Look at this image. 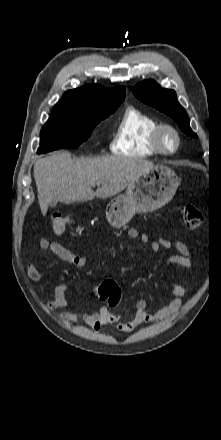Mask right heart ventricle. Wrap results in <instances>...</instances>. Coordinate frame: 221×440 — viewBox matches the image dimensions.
Returning <instances> with one entry per match:
<instances>
[{
    "label": "right heart ventricle",
    "instance_id": "e07e8e85",
    "mask_svg": "<svg viewBox=\"0 0 221 440\" xmlns=\"http://www.w3.org/2000/svg\"><path fill=\"white\" fill-rule=\"evenodd\" d=\"M158 124L152 116L135 107H127L114 131L111 151L116 155L138 158L157 155L152 132Z\"/></svg>",
    "mask_w": 221,
    "mask_h": 440
}]
</instances>
